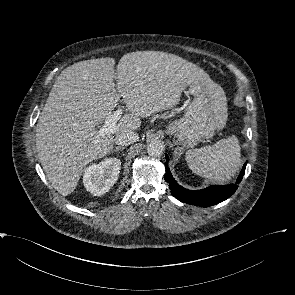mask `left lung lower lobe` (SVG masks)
<instances>
[{"label":"left lung lower lobe","instance_id":"obj_1","mask_svg":"<svg viewBox=\"0 0 295 295\" xmlns=\"http://www.w3.org/2000/svg\"><path fill=\"white\" fill-rule=\"evenodd\" d=\"M168 162L169 158L166 155L165 180L169 183V188L171 190L172 195L182 202L201 207H209L229 198L238 188L237 183H240V181L242 180L247 164H244L236 184L212 185L202 190L192 191L183 188L175 181L168 168Z\"/></svg>","mask_w":295,"mask_h":295}]
</instances>
